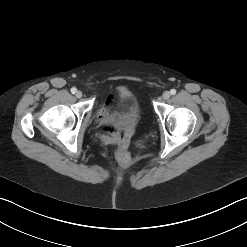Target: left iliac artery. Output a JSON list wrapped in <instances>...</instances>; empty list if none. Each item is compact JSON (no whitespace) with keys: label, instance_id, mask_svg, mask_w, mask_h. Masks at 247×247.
I'll return each instance as SVG.
<instances>
[{"label":"left iliac artery","instance_id":"44dca946","mask_svg":"<svg viewBox=\"0 0 247 247\" xmlns=\"http://www.w3.org/2000/svg\"><path fill=\"white\" fill-rule=\"evenodd\" d=\"M170 93H171L172 95H175V94H176V90H175V89H171V90H170Z\"/></svg>","mask_w":247,"mask_h":247}]
</instances>
